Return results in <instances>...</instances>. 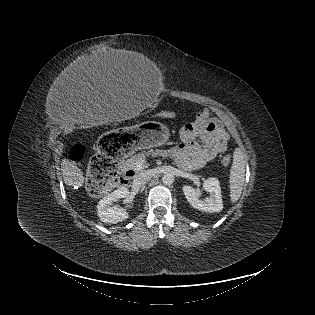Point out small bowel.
Wrapping results in <instances>:
<instances>
[{"instance_id":"1","label":"small bowel","mask_w":315,"mask_h":315,"mask_svg":"<svg viewBox=\"0 0 315 315\" xmlns=\"http://www.w3.org/2000/svg\"><path fill=\"white\" fill-rule=\"evenodd\" d=\"M179 139L171 156L182 169L196 170L226 150L228 136L214 113L205 109L182 126Z\"/></svg>"}]
</instances>
